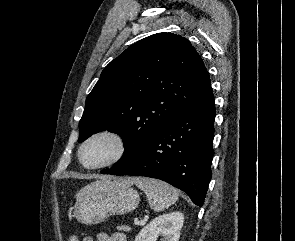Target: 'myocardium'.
Instances as JSON below:
<instances>
[{"mask_svg":"<svg viewBox=\"0 0 295 241\" xmlns=\"http://www.w3.org/2000/svg\"><path fill=\"white\" fill-rule=\"evenodd\" d=\"M102 136L109 137L116 142V144H117L116 154L110 160H108L106 162L96 164V165H87L86 163H84V161L82 159V152H83L85 146L93 139H95L97 137H102ZM128 149H129L128 142L122 133H120L119 131H117L115 129L105 128V129H100V130L94 131L93 133H91L89 136H87L82 141V143L80 144V146L78 148L77 157H78L80 164L85 169L96 170V169L111 167L113 165L120 163L126 157V155L128 153Z\"/></svg>","mask_w":295,"mask_h":241,"instance_id":"1","label":"myocardium"}]
</instances>
